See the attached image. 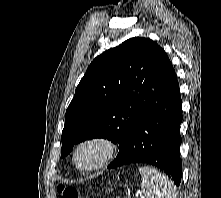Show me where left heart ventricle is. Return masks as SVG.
<instances>
[{
	"instance_id": "left-heart-ventricle-1",
	"label": "left heart ventricle",
	"mask_w": 221,
	"mask_h": 198,
	"mask_svg": "<svg viewBox=\"0 0 221 198\" xmlns=\"http://www.w3.org/2000/svg\"><path fill=\"white\" fill-rule=\"evenodd\" d=\"M99 155L97 147H85L78 154V162L83 166H88L95 163Z\"/></svg>"
}]
</instances>
